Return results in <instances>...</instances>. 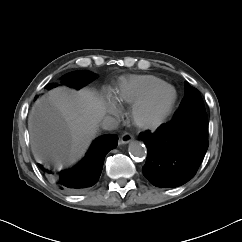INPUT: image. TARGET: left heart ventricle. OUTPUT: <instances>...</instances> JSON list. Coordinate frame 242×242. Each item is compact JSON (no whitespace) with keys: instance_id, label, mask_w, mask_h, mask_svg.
<instances>
[{"instance_id":"b2bd125f","label":"left heart ventricle","mask_w":242,"mask_h":242,"mask_svg":"<svg viewBox=\"0 0 242 242\" xmlns=\"http://www.w3.org/2000/svg\"><path fill=\"white\" fill-rule=\"evenodd\" d=\"M171 99L172 92L170 90L162 92L140 112V118L148 122L158 119L169 105Z\"/></svg>"}]
</instances>
